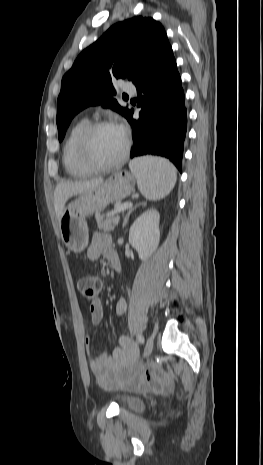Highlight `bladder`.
I'll use <instances>...</instances> for the list:
<instances>
[{"instance_id": "1", "label": "bladder", "mask_w": 263, "mask_h": 465, "mask_svg": "<svg viewBox=\"0 0 263 465\" xmlns=\"http://www.w3.org/2000/svg\"><path fill=\"white\" fill-rule=\"evenodd\" d=\"M121 409L128 410L131 412L140 413L144 410V402L136 396L133 395H120L117 397Z\"/></svg>"}]
</instances>
